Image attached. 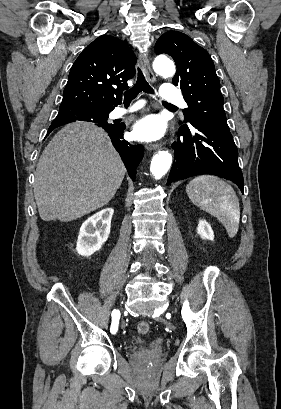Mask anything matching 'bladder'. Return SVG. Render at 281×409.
Listing matches in <instances>:
<instances>
[{
	"label": "bladder",
	"mask_w": 281,
	"mask_h": 409,
	"mask_svg": "<svg viewBox=\"0 0 281 409\" xmlns=\"http://www.w3.org/2000/svg\"><path fill=\"white\" fill-rule=\"evenodd\" d=\"M144 349H145V350H148V348H147L146 346L144 347Z\"/></svg>",
	"instance_id": "31cf9c89"
}]
</instances>
